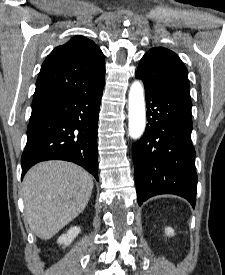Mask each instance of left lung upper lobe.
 <instances>
[{"mask_svg":"<svg viewBox=\"0 0 225 275\" xmlns=\"http://www.w3.org/2000/svg\"><path fill=\"white\" fill-rule=\"evenodd\" d=\"M136 73L145 81L191 103L188 71L173 51L152 48L142 57Z\"/></svg>","mask_w":225,"mask_h":275,"instance_id":"left-lung-upper-lobe-1","label":"left lung upper lobe"}]
</instances>
